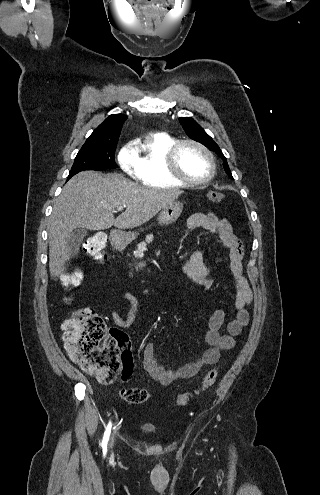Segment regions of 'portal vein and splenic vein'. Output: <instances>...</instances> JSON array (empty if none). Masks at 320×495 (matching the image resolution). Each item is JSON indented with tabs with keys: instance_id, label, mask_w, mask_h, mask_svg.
Masks as SVG:
<instances>
[{
	"instance_id": "1",
	"label": "portal vein and splenic vein",
	"mask_w": 320,
	"mask_h": 495,
	"mask_svg": "<svg viewBox=\"0 0 320 495\" xmlns=\"http://www.w3.org/2000/svg\"><path fill=\"white\" fill-rule=\"evenodd\" d=\"M124 208H125V206H120V207H117V208H116V210H117V211H121V210H123Z\"/></svg>"
}]
</instances>
